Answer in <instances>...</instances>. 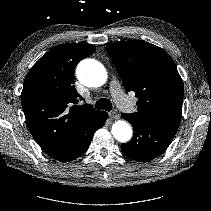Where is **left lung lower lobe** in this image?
I'll list each match as a JSON object with an SVG mask.
<instances>
[{
    "mask_svg": "<svg viewBox=\"0 0 211 211\" xmlns=\"http://www.w3.org/2000/svg\"><path fill=\"white\" fill-rule=\"evenodd\" d=\"M123 119L131 123L135 134L121 145L123 154L133 160L148 162L161 155L171 143L179 125L160 122H144L122 113Z\"/></svg>",
    "mask_w": 211,
    "mask_h": 211,
    "instance_id": "0a47b994",
    "label": "left lung lower lobe"
}]
</instances>
